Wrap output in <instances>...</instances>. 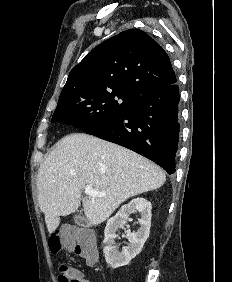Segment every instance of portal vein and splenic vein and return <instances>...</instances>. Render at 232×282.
Returning a JSON list of instances; mask_svg holds the SVG:
<instances>
[{
	"label": "portal vein and splenic vein",
	"instance_id": "1",
	"mask_svg": "<svg viewBox=\"0 0 232 282\" xmlns=\"http://www.w3.org/2000/svg\"><path fill=\"white\" fill-rule=\"evenodd\" d=\"M85 194L89 197H92V198L106 196L105 192L97 191V190L93 189L90 185H87L85 187Z\"/></svg>",
	"mask_w": 232,
	"mask_h": 282
}]
</instances>
